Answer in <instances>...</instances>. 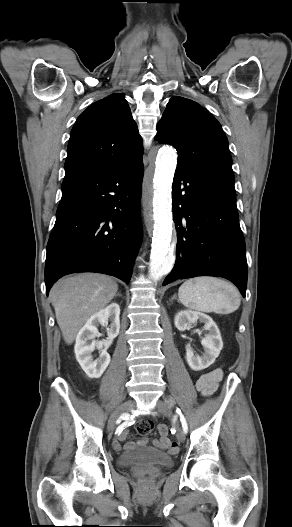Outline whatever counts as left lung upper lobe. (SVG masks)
<instances>
[{"mask_svg":"<svg viewBox=\"0 0 292 527\" xmlns=\"http://www.w3.org/2000/svg\"><path fill=\"white\" fill-rule=\"evenodd\" d=\"M156 140L178 151V170L234 182L227 137L214 116L198 103L170 99L157 126Z\"/></svg>","mask_w":292,"mask_h":527,"instance_id":"left-lung-upper-lobe-1","label":"left lung upper lobe"}]
</instances>
